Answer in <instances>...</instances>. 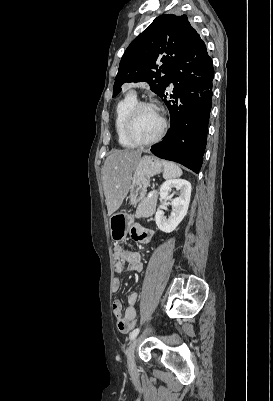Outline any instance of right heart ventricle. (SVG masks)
I'll return each instance as SVG.
<instances>
[{"mask_svg":"<svg viewBox=\"0 0 273 401\" xmlns=\"http://www.w3.org/2000/svg\"><path fill=\"white\" fill-rule=\"evenodd\" d=\"M138 102L134 93L123 96L114 108V129L116 132L118 143L121 147L131 149L137 145L129 142L123 134V124L133 106Z\"/></svg>","mask_w":273,"mask_h":401,"instance_id":"1","label":"right heart ventricle"}]
</instances>
